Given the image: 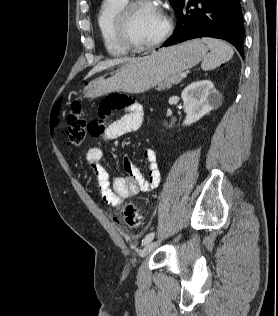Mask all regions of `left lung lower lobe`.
Instances as JSON below:
<instances>
[{
	"mask_svg": "<svg viewBox=\"0 0 278 316\" xmlns=\"http://www.w3.org/2000/svg\"><path fill=\"white\" fill-rule=\"evenodd\" d=\"M176 16V29L163 46L207 36L230 42L243 56L244 28L239 0H183Z\"/></svg>",
	"mask_w": 278,
	"mask_h": 316,
	"instance_id": "0a47b994",
	"label": "left lung lower lobe"
}]
</instances>
